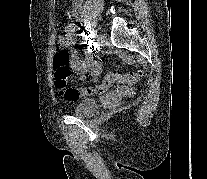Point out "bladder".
<instances>
[{
    "label": "bladder",
    "mask_w": 207,
    "mask_h": 179,
    "mask_svg": "<svg viewBox=\"0 0 207 179\" xmlns=\"http://www.w3.org/2000/svg\"><path fill=\"white\" fill-rule=\"evenodd\" d=\"M99 105V101L94 98H83L77 101L74 107L75 115L89 118L94 115Z\"/></svg>",
    "instance_id": "31cf9c89"
}]
</instances>
